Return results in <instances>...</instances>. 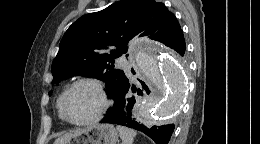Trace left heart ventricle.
<instances>
[{"instance_id": "obj_1", "label": "left heart ventricle", "mask_w": 260, "mask_h": 144, "mask_svg": "<svg viewBox=\"0 0 260 144\" xmlns=\"http://www.w3.org/2000/svg\"><path fill=\"white\" fill-rule=\"evenodd\" d=\"M99 108V95L90 85H80L75 88L66 102V113L76 122L92 118Z\"/></svg>"}]
</instances>
